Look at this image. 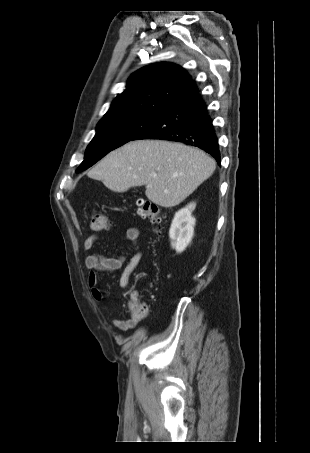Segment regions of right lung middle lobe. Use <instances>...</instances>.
Here are the masks:
<instances>
[{
  "label": "right lung middle lobe",
  "mask_w": 310,
  "mask_h": 453,
  "mask_svg": "<svg viewBox=\"0 0 310 453\" xmlns=\"http://www.w3.org/2000/svg\"><path fill=\"white\" fill-rule=\"evenodd\" d=\"M159 115L119 114L103 117L96 128V135L88 145L84 161L77 173L86 170L111 150L136 138L150 126Z\"/></svg>",
  "instance_id": "right-lung-middle-lobe-1"
}]
</instances>
